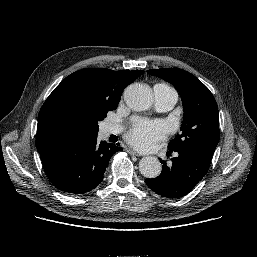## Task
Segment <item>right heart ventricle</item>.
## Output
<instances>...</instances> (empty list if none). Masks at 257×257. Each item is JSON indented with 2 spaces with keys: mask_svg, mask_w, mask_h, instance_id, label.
Masks as SVG:
<instances>
[{
  "mask_svg": "<svg viewBox=\"0 0 257 257\" xmlns=\"http://www.w3.org/2000/svg\"><path fill=\"white\" fill-rule=\"evenodd\" d=\"M160 85H162V86H164V87H166V88H168V89H170L168 86H166V85H163V84H160Z\"/></svg>",
  "mask_w": 257,
  "mask_h": 257,
  "instance_id": "e07e8e85",
  "label": "right heart ventricle"
}]
</instances>
